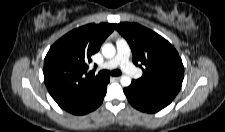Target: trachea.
Segmentation results:
<instances>
[{"label":"trachea","mask_w":225,"mask_h":132,"mask_svg":"<svg viewBox=\"0 0 225 132\" xmlns=\"http://www.w3.org/2000/svg\"><path fill=\"white\" fill-rule=\"evenodd\" d=\"M98 75L100 77H107L109 75L119 76V75H121V71H119V70H113V71L103 70V71H100L98 73Z\"/></svg>","instance_id":"trachea-1"}]
</instances>
